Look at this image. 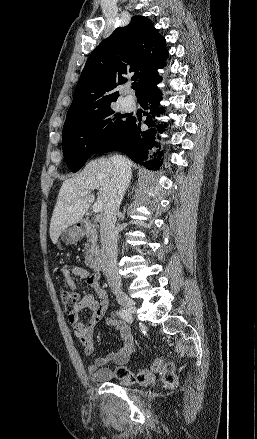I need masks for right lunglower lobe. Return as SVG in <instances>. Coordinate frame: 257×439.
I'll list each match as a JSON object with an SVG mask.
<instances>
[{
  "mask_svg": "<svg viewBox=\"0 0 257 439\" xmlns=\"http://www.w3.org/2000/svg\"><path fill=\"white\" fill-rule=\"evenodd\" d=\"M162 78L157 77L146 89L144 94L138 99L144 108V115L147 119L144 123L149 127L148 130L141 128V120L131 117L121 133L99 147L94 153H106L110 151H120L125 153L134 162L146 166L150 169H158L162 164V153L160 149L157 152L151 151L152 148H158L157 143L160 141L158 133L165 131L166 124L155 120L154 117L163 113L164 109L160 106L162 93L157 88Z\"/></svg>",
  "mask_w": 257,
  "mask_h": 439,
  "instance_id": "right-lung-lower-lobe-1",
  "label": "right lung lower lobe"
}]
</instances>
